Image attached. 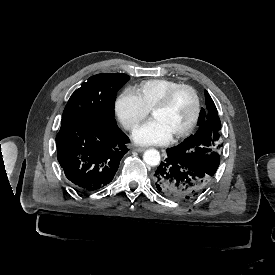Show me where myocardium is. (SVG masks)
<instances>
[{"label":"myocardium","mask_w":275,"mask_h":275,"mask_svg":"<svg viewBox=\"0 0 275 275\" xmlns=\"http://www.w3.org/2000/svg\"><path fill=\"white\" fill-rule=\"evenodd\" d=\"M182 88L188 89L194 98V103H195L194 113H193V116H192L190 122L187 124V126L184 129H182L180 132L171 136L170 141H176L178 139L186 137L187 135H189L191 133V131L197 124L199 117H200V113H201L200 97H199L197 90L192 85L187 84V83L176 84V85L170 87L164 93V95L160 98V100L151 109V116H153L155 112L164 109L169 104L171 98L176 93V91H178L179 89H182Z\"/></svg>","instance_id":"myocardium-1"}]
</instances>
